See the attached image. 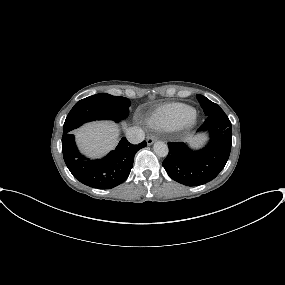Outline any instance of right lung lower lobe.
Returning <instances> with one entry per match:
<instances>
[{"mask_svg": "<svg viewBox=\"0 0 285 285\" xmlns=\"http://www.w3.org/2000/svg\"><path fill=\"white\" fill-rule=\"evenodd\" d=\"M146 145V141L133 145L123 137L107 156L90 160L78 151L71 132L62 136L63 158L72 175L81 183L98 189H111L124 182L130 174L136 152Z\"/></svg>", "mask_w": 285, "mask_h": 285, "instance_id": "1", "label": "right lung lower lobe"}]
</instances>
